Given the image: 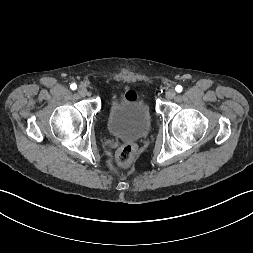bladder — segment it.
I'll return each mask as SVG.
<instances>
[{"mask_svg": "<svg viewBox=\"0 0 253 253\" xmlns=\"http://www.w3.org/2000/svg\"><path fill=\"white\" fill-rule=\"evenodd\" d=\"M110 134L123 140L136 141L151 129L152 117L146 101L126 94L112 100L106 118Z\"/></svg>", "mask_w": 253, "mask_h": 253, "instance_id": "31cf9c89", "label": "bladder"}]
</instances>
